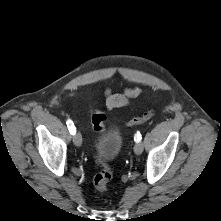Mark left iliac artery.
Segmentation results:
<instances>
[{
  "instance_id": "44dca946",
  "label": "left iliac artery",
  "mask_w": 221,
  "mask_h": 221,
  "mask_svg": "<svg viewBox=\"0 0 221 221\" xmlns=\"http://www.w3.org/2000/svg\"><path fill=\"white\" fill-rule=\"evenodd\" d=\"M141 139H142L141 134H140L139 132H137V134H135L134 140L138 142V141H140Z\"/></svg>"
}]
</instances>
